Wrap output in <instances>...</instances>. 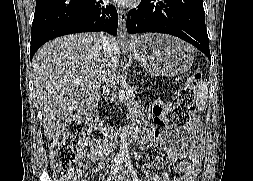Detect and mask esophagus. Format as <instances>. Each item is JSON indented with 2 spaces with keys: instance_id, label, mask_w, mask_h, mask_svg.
<instances>
[{
  "instance_id": "34e87169",
  "label": "esophagus",
  "mask_w": 253,
  "mask_h": 181,
  "mask_svg": "<svg viewBox=\"0 0 253 181\" xmlns=\"http://www.w3.org/2000/svg\"><path fill=\"white\" fill-rule=\"evenodd\" d=\"M119 22H118V38L120 40H127L128 33L126 29V12L122 9L118 10Z\"/></svg>"
}]
</instances>
